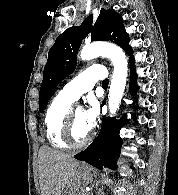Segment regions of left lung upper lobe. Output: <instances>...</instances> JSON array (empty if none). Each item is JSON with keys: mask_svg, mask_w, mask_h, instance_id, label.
<instances>
[{"mask_svg": "<svg viewBox=\"0 0 178 195\" xmlns=\"http://www.w3.org/2000/svg\"><path fill=\"white\" fill-rule=\"evenodd\" d=\"M92 23L93 16L90 15L80 26L66 29L57 37L54 45L50 48L39 92V109L41 112L45 103L55 93V88L59 82L74 71L76 56L82 39L91 31L92 40L112 41L122 47L128 55L132 54L128 33L125 31L122 18L117 12L111 9H101L94 26Z\"/></svg>", "mask_w": 178, "mask_h": 195, "instance_id": "obj_1", "label": "left lung upper lobe"}]
</instances>
